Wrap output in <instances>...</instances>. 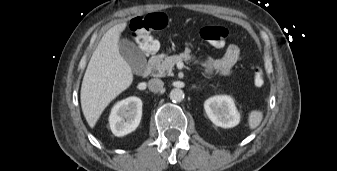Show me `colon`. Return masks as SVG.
<instances>
[{"mask_svg": "<svg viewBox=\"0 0 337 171\" xmlns=\"http://www.w3.org/2000/svg\"><path fill=\"white\" fill-rule=\"evenodd\" d=\"M167 25L165 15L153 13L144 16L135 17L131 22L132 36L141 49L147 52H153L157 48L154 34ZM200 36L203 40L215 46L223 45L228 39L229 33L225 27L204 25L200 29ZM253 83L256 87H262L265 83L264 72L261 67L256 66L253 69Z\"/></svg>", "mask_w": 337, "mask_h": 171, "instance_id": "colon-1", "label": "colon"}]
</instances>
